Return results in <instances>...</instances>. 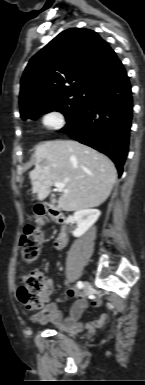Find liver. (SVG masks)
<instances>
[{
  "instance_id": "obj_1",
  "label": "liver",
  "mask_w": 145,
  "mask_h": 385,
  "mask_svg": "<svg viewBox=\"0 0 145 385\" xmlns=\"http://www.w3.org/2000/svg\"><path fill=\"white\" fill-rule=\"evenodd\" d=\"M34 170L29 173L40 201L54 182L65 183L58 200L63 211L97 207L107 200L117 179L113 162L93 148L72 140L46 141L35 147Z\"/></svg>"
}]
</instances>
